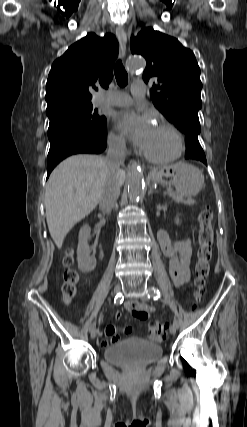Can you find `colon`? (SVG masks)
Instances as JSON below:
<instances>
[{
	"label": "colon",
	"mask_w": 247,
	"mask_h": 427,
	"mask_svg": "<svg viewBox=\"0 0 247 427\" xmlns=\"http://www.w3.org/2000/svg\"><path fill=\"white\" fill-rule=\"evenodd\" d=\"M213 213L209 207H204L198 214V251L195 264L193 306L201 302L207 278L210 272L212 250L214 243V230L212 226ZM63 263L65 265L64 282L62 285V297L66 303L70 302L78 290L80 275L73 267L74 254L71 249L67 250ZM152 337L161 339L165 335L166 325L158 321H151L148 325Z\"/></svg>",
	"instance_id": "1"
}]
</instances>
